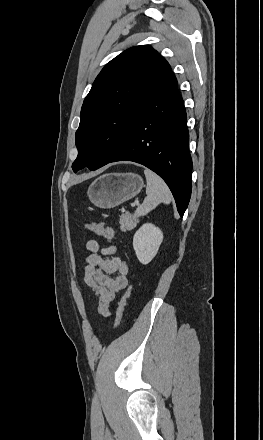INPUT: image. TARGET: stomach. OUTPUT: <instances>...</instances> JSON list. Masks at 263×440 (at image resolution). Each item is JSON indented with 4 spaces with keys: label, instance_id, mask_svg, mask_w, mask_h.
I'll return each mask as SVG.
<instances>
[{
    "label": "stomach",
    "instance_id": "obj_1",
    "mask_svg": "<svg viewBox=\"0 0 263 440\" xmlns=\"http://www.w3.org/2000/svg\"><path fill=\"white\" fill-rule=\"evenodd\" d=\"M144 187L134 173H109L95 179L88 188L89 200L100 208H113L136 196Z\"/></svg>",
    "mask_w": 263,
    "mask_h": 440
}]
</instances>
